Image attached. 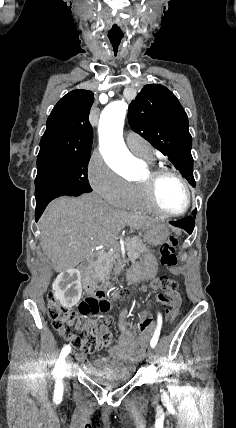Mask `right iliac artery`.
<instances>
[{"instance_id": "right-iliac-artery-1", "label": "right iliac artery", "mask_w": 236, "mask_h": 428, "mask_svg": "<svg viewBox=\"0 0 236 428\" xmlns=\"http://www.w3.org/2000/svg\"><path fill=\"white\" fill-rule=\"evenodd\" d=\"M70 350H71L70 345H66L62 349L60 356H59V359L57 360V362L54 366V369H53L54 374H64L65 373V364H66L65 357L69 354Z\"/></svg>"}]
</instances>
